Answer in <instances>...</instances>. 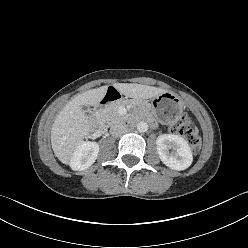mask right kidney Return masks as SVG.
I'll return each mask as SVG.
<instances>
[{
  "mask_svg": "<svg viewBox=\"0 0 248 248\" xmlns=\"http://www.w3.org/2000/svg\"><path fill=\"white\" fill-rule=\"evenodd\" d=\"M99 145L96 142H82L76 149L70 167L74 171H83L89 168L97 159Z\"/></svg>",
  "mask_w": 248,
  "mask_h": 248,
  "instance_id": "obj_1",
  "label": "right kidney"
}]
</instances>
